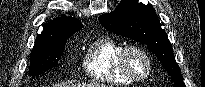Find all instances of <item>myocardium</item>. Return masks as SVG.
<instances>
[{
  "instance_id": "1",
  "label": "myocardium",
  "mask_w": 205,
  "mask_h": 87,
  "mask_svg": "<svg viewBox=\"0 0 205 87\" xmlns=\"http://www.w3.org/2000/svg\"><path fill=\"white\" fill-rule=\"evenodd\" d=\"M131 52H137L146 59L147 64H148V70L145 76L139 77L130 70L128 66V62H127V57ZM118 64H119V67L122 73L125 76H127L129 79H131L133 82H142V81L147 80L150 77L153 71V67H154V63H153L150 53L145 48L139 45L124 46L119 53Z\"/></svg>"
}]
</instances>
